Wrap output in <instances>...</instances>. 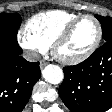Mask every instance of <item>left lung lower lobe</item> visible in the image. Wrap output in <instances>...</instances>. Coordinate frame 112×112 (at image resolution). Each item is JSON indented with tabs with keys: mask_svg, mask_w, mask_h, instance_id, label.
Here are the masks:
<instances>
[{
	"mask_svg": "<svg viewBox=\"0 0 112 112\" xmlns=\"http://www.w3.org/2000/svg\"><path fill=\"white\" fill-rule=\"evenodd\" d=\"M63 71L59 95L72 112H105L112 107V41Z\"/></svg>",
	"mask_w": 112,
	"mask_h": 112,
	"instance_id": "left-lung-lower-lobe-1",
	"label": "left lung lower lobe"
}]
</instances>
